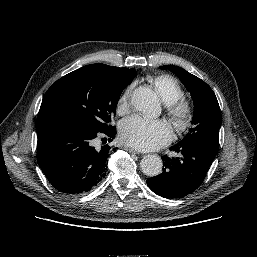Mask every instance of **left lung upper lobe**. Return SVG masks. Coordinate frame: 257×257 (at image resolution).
<instances>
[{
    "label": "left lung upper lobe",
    "instance_id": "obj_1",
    "mask_svg": "<svg viewBox=\"0 0 257 257\" xmlns=\"http://www.w3.org/2000/svg\"><path fill=\"white\" fill-rule=\"evenodd\" d=\"M161 69L171 70L190 91L194 112L193 127L179 143L203 142L218 147L221 112L217 98L208 84L183 68L166 65Z\"/></svg>",
    "mask_w": 257,
    "mask_h": 257
}]
</instances>
